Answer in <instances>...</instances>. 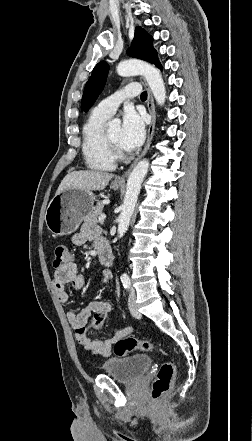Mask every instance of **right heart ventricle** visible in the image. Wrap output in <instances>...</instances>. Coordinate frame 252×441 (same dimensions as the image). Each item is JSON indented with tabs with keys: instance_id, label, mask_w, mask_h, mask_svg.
Wrapping results in <instances>:
<instances>
[{
	"instance_id": "1",
	"label": "right heart ventricle",
	"mask_w": 252,
	"mask_h": 441,
	"mask_svg": "<svg viewBox=\"0 0 252 441\" xmlns=\"http://www.w3.org/2000/svg\"><path fill=\"white\" fill-rule=\"evenodd\" d=\"M107 119L108 116L94 110L82 127V155L87 168L94 171L108 172L116 167V159L108 153L104 143Z\"/></svg>"
}]
</instances>
